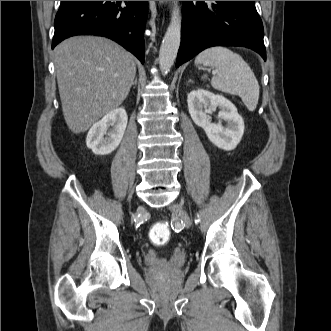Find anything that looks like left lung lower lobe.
<instances>
[{"label":"left lung lower lobe","instance_id":"left-lung-lower-lobe-1","mask_svg":"<svg viewBox=\"0 0 331 331\" xmlns=\"http://www.w3.org/2000/svg\"><path fill=\"white\" fill-rule=\"evenodd\" d=\"M182 14L176 67L218 45L247 47L266 61L264 30L255 1H183Z\"/></svg>","mask_w":331,"mask_h":331}]
</instances>
